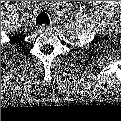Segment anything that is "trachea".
<instances>
[{
	"label": "trachea",
	"mask_w": 121,
	"mask_h": 121,
	"mask_svg": "<svg viewBox=\"0 0 121 121\" xmlns=\"http://www.w3.org/2000/svg\"><path fill=\"white\" fill-rule=\"evenodd\" d=\"M36 24H49V17L45 12H41L36 18Z\"/></svg>",
	"instance_id": "obj_1"
}]
</instances>
